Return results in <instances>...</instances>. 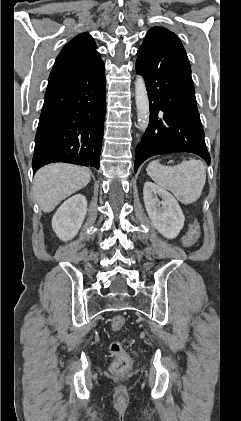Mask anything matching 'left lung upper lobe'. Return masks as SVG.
<instances>
[{
  "label": "left lung upper lobe",
  "mask_w": 241,
  "mask_h": 421,
  "mask_svg": "<svg viewBox=\"0 0 241 421\" xmlns=\"http://www.w3.org/2000/svg\"><path fill=\"white\" fill-rule=\"evenodd\" d=\"M148 32H166V33H170V34L175 35V34H174V33H172L171 31H169V30H167V29H165V28H163V27H153V28H151Z\"/></svg>",
  "instance_id": "1"
}]
</instances>
